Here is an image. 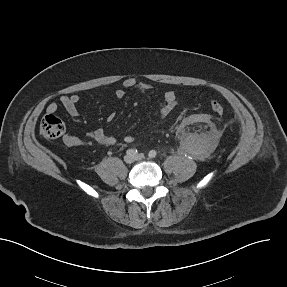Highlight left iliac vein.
<instances>
[{
    "label": "left iliac vein",
    "mask_w": 287,
    "mask_h": 287,
    "mask_svg": "<svg viewBox=\"0 0 287 287\" xmlns=\"http://www.w3.org/2000/svg\"><path fill=\"white\" fill-rule=\"evenodd\" d=\"M144 158V155L143 154H139L135 157L136 160H141Z\"/></svg>",
    "instance_id": "4c4485c4"
}]
</instances>
